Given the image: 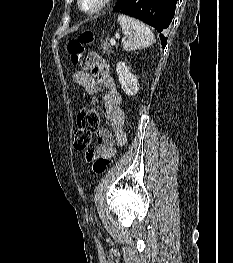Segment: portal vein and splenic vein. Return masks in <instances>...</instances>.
I'll use <instances>...</instances> for the list:
<instances>
[{"mask_svg": "<svg viewBox=\"0 0 233 263\" xmlns=\"http://www.w3.org/2000/svg\"><path fill=\"white\" fill-rule=\"evenodd\" d=\"M110 44L112 45V46H115L116 45V41H115V39H110Z\"/></svg>", "mask_w": 233, "mask_h": 263, "instance_id": "1", "label": "portal vein and splenic vein"}]
</instances>
